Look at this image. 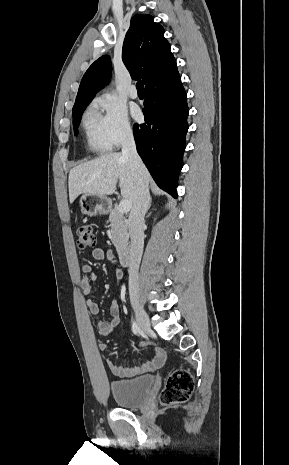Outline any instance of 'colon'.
<instances>
[{"label": "colon", "mask_w": 289, "mask_h": 465, "mask_svg": "<svg viewBox=\"0 0 289 465\" xmlns=\"http://www.w3.org/2000/svg\"><path fill=\"white\" fill-rule=\"evenodd\" d=\"M77 246L79 249H89L96 245V236L90 225H81L77 232ZM194 388L192 375L178 369L169 375L163 390L160 393V402L164 405L183 403L190 397Z\"/></svg>", "instance_id": "1"}]
</instances>
